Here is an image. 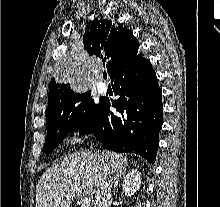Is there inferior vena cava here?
Segmentation results:
<instances>
[{"label": "inferior vena cava", "instance_id": "602c4592", "mask_svg": "<svg viewBox=\"0 0 220 207\" xmlns=\"http://www.w3.org/2000/svg\"><path fill=\"white\" fill-rule=\"evenodd\" d=\"M112 174L104 169L99 177L94 207H110L112 203Z\"/></svg>", "mask_w": 220, "mask_h": 207}]
</instances>
